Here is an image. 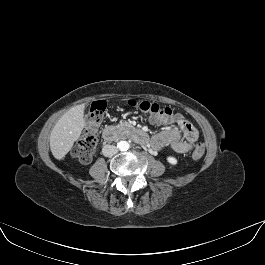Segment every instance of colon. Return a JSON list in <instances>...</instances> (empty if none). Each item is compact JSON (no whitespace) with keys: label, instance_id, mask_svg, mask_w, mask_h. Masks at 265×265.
<instances>
[{"label":"colon","instance_id":"obj_1","mask_svg":"<svg viewBox=\"0 0 265 265\" xmlns=\"http://www.w3.org/2000/svg\"><path fill=\"white\" fill-rule=\"evenodd\" d=\"M130 104L137 107L140 111L158 118H179L181 116L180 114H175L169 107H161L159 104L149 101H131ZM105 109L106 105L103 101H95L92 103L85 118L86 133L72 149V155L83 163L90 162L96 151L98 143L97 131L103 120ZM203 154V148L197 147L192 152V157L194 159H200Z\"/></svg>","mask_w":265,"mask_h":265}]
</instances>
